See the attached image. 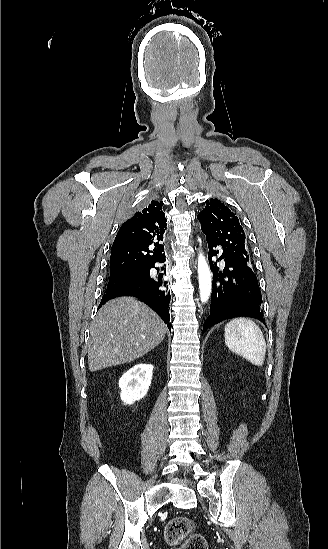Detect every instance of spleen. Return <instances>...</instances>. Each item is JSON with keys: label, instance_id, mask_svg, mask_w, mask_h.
<instances>
[{"label": "spleen", "instance_id": "obj_1", "mask_svg": "<svg viewBox=\"0 0 328 549\" xmlns=\"http://www.w3.org/2000/svg\"><path fill=\"white\" fill-rule=\"evenodd\" d=\"M225 345L232 353L250 361L256 367H262L265 361L266 341L261 329L251 319L238 317L227 323Z\"/></svg>", "mask_w": 328, "mask_h": 549}]
</instances>
